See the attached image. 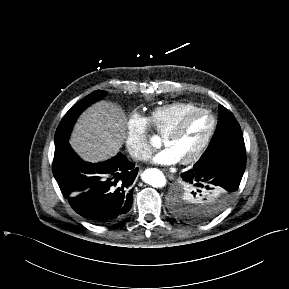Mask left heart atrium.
Listing matches in <instances>:
<instances>
[{
    "instance_id": "39dd6f15",
    "label": "left heart atrium",
    "mask_w": 289,
    "mask_h": 289,
    "mask_svg": "<svg viewBox=\"0 0 289 289\" xmlns=\"http://www.w3.org/2000/svg\"><path fill=\"white\" fill-rule=\"evenodd\" d=\"M152 161L159 165H172L180 161L176 153L169 147L164 148L152 157Z\"/></svg>"
}]
</instances>
